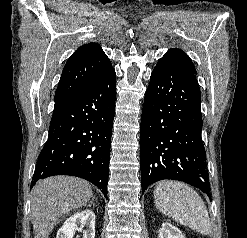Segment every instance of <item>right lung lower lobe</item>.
<instances>
[{"mask_svg":"<svg viewBox=\"0 0 247 238\" xmlns=\"http://www.w3.org/2000/svg\"><path fill=\"white\" fill-rule=\"evenodd\" d=\"M116 74L112 69L87 90L54 108L48 140L31 187L53 175H72L96 185L107 198Z\"/></svg>","mask_w":247,"mask_h":238,"instance_id":"98d812e1","label":"right lung lower lobe"}]
</instances>
